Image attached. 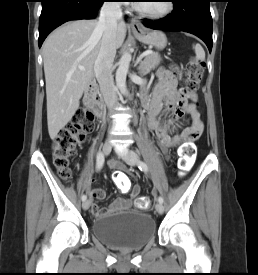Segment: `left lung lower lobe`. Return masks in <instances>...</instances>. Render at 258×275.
I'll use <instances>...</instances> for the list:
<instances>
[{
    "label": "left lung lower lobe",
    "instance_id": "obj_1",
    "mask_svg": "<svg viewBox=\"0 0 258 275\" xmlns=\"http://www.w3.org/2000/svg\"><path fill=\"white\" fill-rule=\"evenodd\" d=\"M174 10L160 21L144 20V25L165 31H184L202 39L212 49L210 0H173Z\"/></svg>",
    "mask_w": 258,
    "mask_h": 275
}]
</instances>
